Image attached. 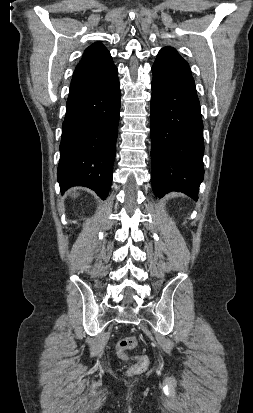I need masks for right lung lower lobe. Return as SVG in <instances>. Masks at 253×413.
I'll use <instances>...</instances> for the list:
<instances>
[{
	"label": "right lung lower lobe",
	"mask_w": 253,
	"mask_h": 413,
	"mask_svg": "<svg viewBox=\"0 0 253 413\" xmlns=\"http://www.w3.org/2000/svg\"><path fill=\"white\" fill-rule=\"evenodd\" d=\"M120 112L117 68L92 89L68 97L62 125L58 182L62 192L85 186L105 199L112 167Z\"/></svg>",
	"instance_id": "obj_1"
}]
</instances>
